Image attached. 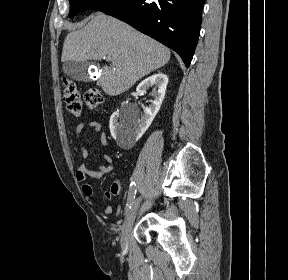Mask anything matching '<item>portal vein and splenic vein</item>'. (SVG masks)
<instances>
[{
	"label": "portal vein and splenic vein",
	"mask_w": 288,
	"mask_h": 280,
	"mask_svg": "<svg viewBox=\"0 0 288 280\" xmlns=\"http://www.w3.org/2000/svg\"><path fill=\"white\" fill-rule=\"evenodd\" d=\"M104 58H106V60H108V61H110V59H111L109 56H106Z\"/></svg>",
	"instance_id": "portal-vein-and-splenic-vein-1"
}]
</instances>
